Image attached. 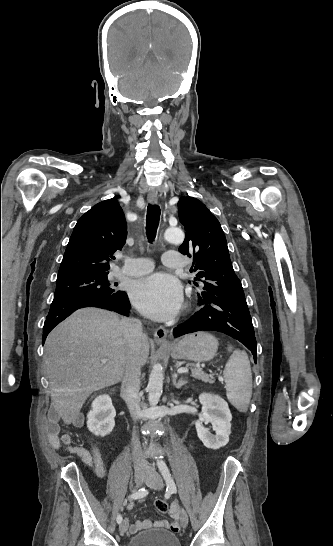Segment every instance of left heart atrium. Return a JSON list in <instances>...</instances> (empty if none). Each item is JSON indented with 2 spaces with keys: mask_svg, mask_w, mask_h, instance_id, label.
I'll return each mask as SVG.
<instances>
[{
  "mask_svg": "<svg viewBox=\"0 0 333 546\" xmlns=\"http://www.w3.org/2000/svg\"><path fill=\"white\" fill-rule=\"evenodd\" d=\"M130 296L140 312L159 321L174 317L183 302L179 282L165 273H154L134 281Z\"/></svg>",
  "mask_w": 333,
  "mask_h": 546,
  "instance_id": "39dd6f15",
  "label": "left heart atrium"
}]
</instances>
